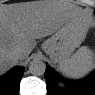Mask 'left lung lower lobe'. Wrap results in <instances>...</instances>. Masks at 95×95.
I'll return each mask as SVG.
<instances>
[{
	"label": "left lung lower lobe",
	"instance_id": "1",
	"mask_svg": "<svg viewBox=\"0 0 95 95\" xmlns=\"http://www.w3.org/2000/svg\"><path fill=\"white\" fill-rule=\"evenodd\" d=\"M45 78L47 81L48 90L56 94L64 95H92L95 92V73L91 74L87 79L79 82H73L69 85L67 90L56 89L57 77L49 68L46 69Z\"/></svg>",
	"mask_w": 95,
	"mask_h": 95
}]
</instances>
